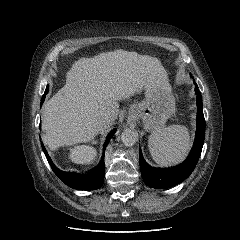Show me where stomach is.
<instances>
[{"label": "stomach", "mask_w": 240, "mask_h": 240, "mask_svg": "<svg viewBox=\"0 0 240 240\" xmlns=\"http://www.w3.org/2000/svg\"><path fill=\"white\" fill-rule=\"evenodd\" d=\"M145 100L130 108V115L142 119L147 131L161 129L175 113V98L169 83L156 81L145 85Z\"/></svg>", "instance_id": "1"}]
</instances>
